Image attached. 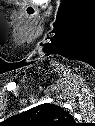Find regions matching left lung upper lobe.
Instances as JSON below:
<instances>
[{"mask_svg":"<svg viewBox=\"0 0 95 126\" xmlns=\"http://www.w3.org/2000/svg\"><path fill=\"white\" fill-rule=\"evenodd\" d=\"M19 126H70L72 116L60 106L50 103L38 105L14 117Z\"/></svg>","mask_w":95,"mask_h":126,"instance_id":"5c2ea615","label":"left lung upper lobe"}]
</instances>
